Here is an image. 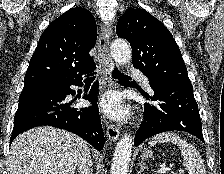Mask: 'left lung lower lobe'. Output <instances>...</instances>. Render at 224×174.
I'll list each match as a JSON object with an SVG mask.
<instances>
[{"instance_id":"1","label":"left lung lower lobe","mask_w":224,"mask_h":174,"mask_svg":"<svg viewBox=\"0 0 224 174\" xmlns=\"http://www.w3.org/2000/svg\"><path fill=\"white\" fill-rule=\"evenodd\" d=\"M154 91L153 97L142 93L155 103L144 104V120L136 132L134 145L166 131H185L204 142L198 105L193 95V86L149 82Z\"/></svg>"}]
</instances>
